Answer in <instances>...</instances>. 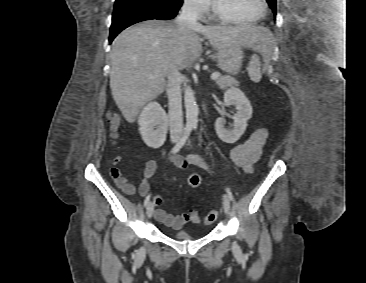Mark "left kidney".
Returning a JSON list of instances; mask_svg holds the SVG:
<instances>
[{"mask_svg": "<svg viewBox=\"0 0 366 283\" xmlns=\"http://www.w3.org/2000/svg\"><path fill=\"white\" fill-rule=\"evenodd\" d=\"M225 106L234 105L237 112L233 115V128L227 130L225 120L218 118L215 122V130L218 137L225 143H235L242 136L247 127V121L252 116V106L244 93L239 89H229L224 93Z\"/></svg>", "mask_w": 366, "mask_h": 283, "instance_id": "5707ae66", "label": "left kidney"}]
</instances>
